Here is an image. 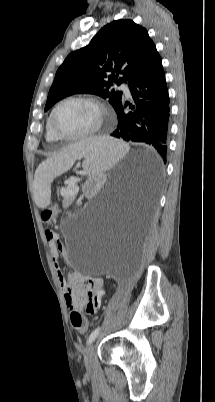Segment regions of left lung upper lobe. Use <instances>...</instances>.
<instances>
[{
  "instance_id": "1",
  "label": "left lung upper lobe",
  "mask_w": 215,
  "mask_h": 402,
  "mask_svg": "<svg viewBox=\"0 0 215 402\" xmlns=\"http://www.w3.org/2000/svg\"><path fill=\"white\" fill-rule=\"evenodd\" d=\"M159 53L147 30L129 19L105 25L89 45L70 53L56 72L45 111L59 100L77 93L108 99L116 109L122 92L110 90L144 71ZM123 77L118 80V75ZM109 75V80L104 78Z\"/></svg>"
}]
</instances>
